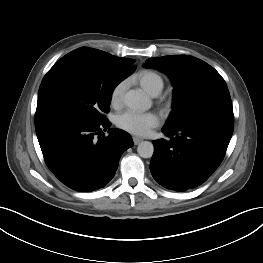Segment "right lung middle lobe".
<instances>
[{
    "instance_id": "1",
    "label": "right lung middle lobe",
    "mask_w": 263,
    "mask_h": 263,
    "mask_svg": "<svg viewBox=\"0 0 263 263\" xmlns=\"http://www.w3.org/2000/svg\"><path fill=\"white\" fill-rule=\"evenodd\" d=\"M135 69L70 52L42 80L35 125L53 119L99 123L106 119L114 88Z\"/></svg>"
}]
</instances>
